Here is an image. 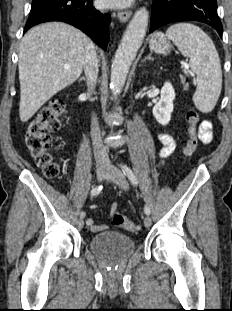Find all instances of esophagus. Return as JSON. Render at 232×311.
<instances>
[{"mask_svg":"<svg viewBox=\"0 0 232 311\" xmlns=\"http://www.w3.org/2000/svg\"><path fill=\"white\" fill-rule=\"evenodd\" d=\"M131 15H132L131 10H123V11H119L117 13V17H118L119 21L122 23H125L126 21H128L130 19Z\"/></svg>","mask_w":232,"mask_h":311,"instance_id":"obj_1","label":"esophagus"}]
</instances>
